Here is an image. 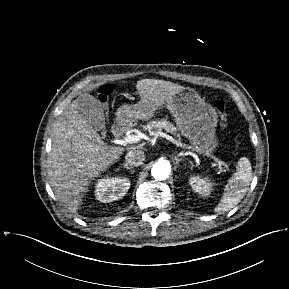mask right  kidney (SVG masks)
I'll return each instance as SVG.
<instances>
[{"mask_svg":"<svg viewBox=\"0 0 289 289\" xmlns=\"http://www.w3.org/2000/svg\"><path fill=\"white\" fill-rule=\"evenodd\" d=\"M130 188V181L124 177H105L96 184L95 196L102 203L122 198Z\"/></svg>","mask_w":289,"mask_h":289,"instance_id":"1","label":"right kidney"}]
</instances>
